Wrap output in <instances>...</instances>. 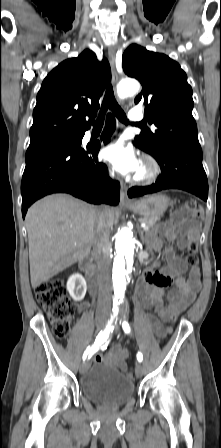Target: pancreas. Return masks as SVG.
<instances>
[{"label":"pancreas","instance_id":"cf45deb5","mask_svg":"<svg viewBox=\"0 0 221 448\" xmlns=\"http://www.w3.org/2000/svg\"><path fill=\"white\" fill-rule=\"evenodd\" d=\"M160 220V216H150V217H142L139 219L141 223H145L149 228H152L157 221Z\"/></svg>","mask_w":221,"mask_h":448}]
</instances>
